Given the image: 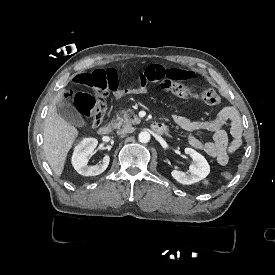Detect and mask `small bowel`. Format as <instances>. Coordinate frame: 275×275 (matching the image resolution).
<instances>
[{
    "label": "small bowel",
    "instance_id": "c3829d8e",
    "mask_svg": "<svg viewBox=\"0 0 275 275\" xmlns=\"http://www.w3.org/2000/svg\"><path fill=\"white\" fill-rule=\"evenodd\" d=\"M104 76L109 88L111 97H121L126 94L121 77L117 69L110 67L106 69ZM162 77V70L158 66L145 68L141 72L140 85H129V94H142L149 90V82L159 80ZM163 78L166 81L184 82L193 78V71L190 68H166L163 71ZM173 121L181 129L189 133L188 142L191 147L204 152L213 158L219 165L226 166L232 153L237 151L242 144V123L238 110L233 106H226L211 120L192 121L181 114H173ZM229 123V139L223 126ZM206 131L213 133L211 141H202L194 135L196 132Z\"/></svg>",
    "mask_w": 275,
    "mask_h": 275
}]
</instances>
